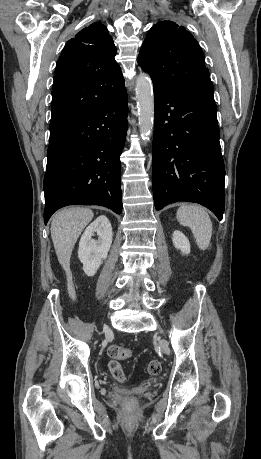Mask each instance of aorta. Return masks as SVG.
Wrapping results in <instances>:
<instances>
[{
    "mask_svg": "<svg viewBox=\"0 0 261 459\" xmlns=\"http://www.w3.org/2000/svg\"><path fill=\"white\" fill-rule=\"evenodd\" d=\"M140 136L149 141L154 126V95L151 78L140 74L135 82Z\"/></svg>",
    "mask_w": 261,
    "mask_h": 459,
    "instance_id": "aorta-1",
    "label": "aorta"
}]
</instances>
